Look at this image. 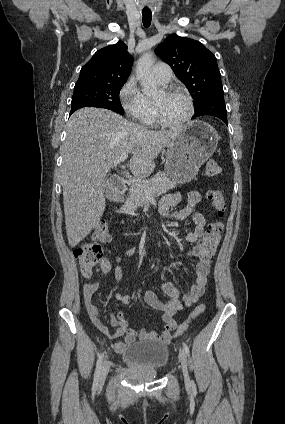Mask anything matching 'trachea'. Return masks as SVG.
I'll use <instances>...</instances> for the list:
<instances>
[{"label": "trachea", "mask_w": 285, "mask_h": 424, "mask_svg": "<svg viewBox=\"0 0 285 424\" xmlns=\"http://www.w3.org/2000/svg\"><path fill=\"white\" fill-rule=\"evenodd\" d=\"M142 22L145 28H148L151 25L152 12L150 10L142 11Z\"/></svg>", "instance_id": "trachea-1"}]
</instances>
